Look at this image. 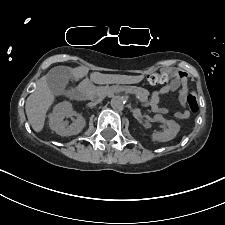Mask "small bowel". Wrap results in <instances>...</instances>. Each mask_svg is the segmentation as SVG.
<instances>
[{"label":"small bowel","mask_w":225,"mask_h":225,"mask_svg":"<svg viewBox=\"0 0 225 225\" xmlns=\"http://www.w3.org/2000/svg\"><path fill=\"white\" fill-rule=\"evenodd\" d=\"M177 92L179 101L181 105L184 107L183 110L176 112L175 116L179 120H185L189 117V112L185 109L186 98L188 93L190 92V84L188 83L187 79H183L181 85L177 83H172L168 86L163 87L159 91L153 93L150 98V106L151 108L157 113H166L167 109L160 106V99L170 93Z\"/></svg>","instance_id":"1"}]
</instances>
